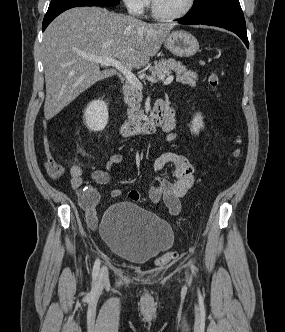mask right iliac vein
Segmentation results:
<instances>
[{
  "mask_svg": "<svg viewBox=\"0 0 285 332\" xmlns=\"http://www.w3.org/2000/svg\"><path fill=\"white\" fill-rule=\"evenodd\" d=\"M108 281V269L106 266H103L100 270L99 276H98V284H104Z\"/></svg>",
  "mask_w": 285,
  "mask_h": 332,
  "instance_id": "63e3f726",
  "label": "right iliac vein"
}]
</instances>
